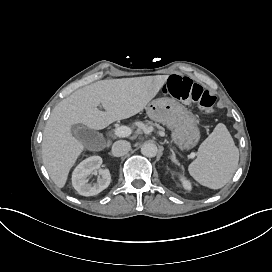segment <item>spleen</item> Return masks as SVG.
Returning a JSON list of instances; mask_svg holds the SVG:
<instances>
[{
	"instance_id": "spleen-1",
	"label": "spleen",
	"mask_w": 272,
	"mask_h": 272,
	"mask_svg": "<svg viewBox=\"0 0 272 272\" xmlns=\"http://www.w3.org/2000/svg\"><path fill=\"white\" fill-rule=\"evenodd\" d=\"M238 161L239 151L225 125L219 123L199 146L188 172L200 185L219 189L232 178Z\"/></svg>"
}]
</instances>
